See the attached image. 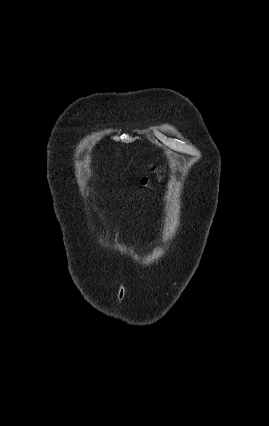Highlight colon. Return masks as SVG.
Wrapping results in <instances>:
<instances>
[{
	"mask_svg": "<svg viewBox=\"0 0 269 426\" xmlns=\"http://www.w3.org/2000/svg\"><path fill=\"white\" fill-rule=\"evenodd\" d=\"M148 182H149V179L147 177H145V178L142 179V183L143 184H147Z\"/></svg>",
	"mask_w": 269,
	"mask_h": 426,
	"instance_id": "colon-1",
	"label": "colon"
}]
</instances>
